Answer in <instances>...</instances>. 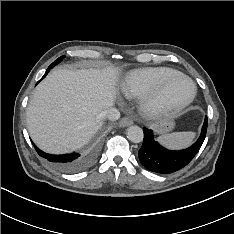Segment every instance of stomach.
I'll list each match as a JSON object with an SVG mask.
<instances>
[{"mask_svg":"<svg viewBox=\"0 0 234 234\" xmlns=\"http://www.w3.org/2000/svg\"><path fill=\"white\" fill-rule=\"evenodd\" d=\"M151 127L159 134H166L174 129L175 123L172 118H164L152 124Z\"/></svg>","mask_w":234,"mask_h":234,"instance_id":"obj_1","label":"stomach"}]
</instances>
